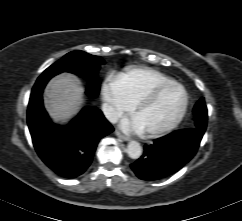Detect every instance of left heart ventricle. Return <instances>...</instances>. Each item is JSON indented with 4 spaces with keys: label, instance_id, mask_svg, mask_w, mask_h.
I'll return each mask as SVG.
<instances>
[{
    "label": "left heart ventricle",
    "instance_id": "1",
    "mask_svg": "<svg viewBox=\"0 0 242 221\" xmlns=\"http://www.w3.org/2000/svg\"><path fill=\"white\" fill-rule=\"evenodd\" d=\"M183 99L182 90L178 87H171L162 92L151 105L137 112L134 117L144 131L160 129L178 114Z\"/></svg>",
    "mask_w": 242,
    "mask_h": 221
}]
</instances>
